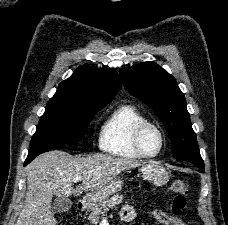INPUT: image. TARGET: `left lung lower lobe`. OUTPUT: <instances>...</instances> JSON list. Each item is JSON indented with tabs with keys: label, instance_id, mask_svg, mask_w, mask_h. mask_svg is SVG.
Returning a JSON list of instances; mask_svg holds the SVG:
<instances>
[{
	"label": "left lung lower lobe",
	"instance_id": "obj_1",
	"mask_svg": "<svg viewBox=\"0 0 228 225\" xmlns=\"http://www.w3.org/2000/svg\"><path fill=\"white\" fill-rule=\"evenodd\" d=\"M198 171L202 172V169H199V168H198Z\"/></svg>",
	"mask_w": 228,
	"mask_h": 225
}]
</instances>
